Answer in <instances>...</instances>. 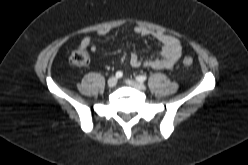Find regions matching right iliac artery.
<instances>
[{"instance_id": "1", "label": "right iliac artery", "mask_w": 248, "mask_h": 165, "mask_svg": "<svg viewBox=\"0 0 248 165\" xmlns=\"http://www.w3.org/2000/svg\"><path fill=\"white\" fill-rule=\"evenodd\" d=\"M123 73L121 71L116 72V78H121Z\"/></svg>"}]
</instances>
